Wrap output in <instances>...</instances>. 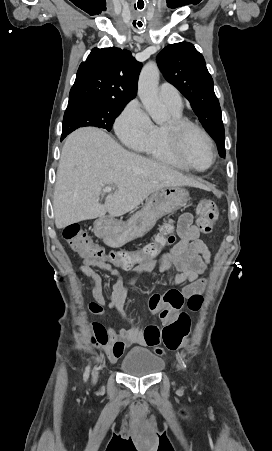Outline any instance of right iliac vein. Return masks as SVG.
Returning a JSON list of instances; mask_svg holds the SVG:
<instances>
[{"mask_svg": "<svg viewBox=\"0 0 272 451\" xmlns=\"http://www.w3.org/2000/svg\"><path fill=\"white\" fill-rule=\"evenodd\" d=\"M97 380H98V372L96 371L93 374V380H92L93 384H96Z\"/></svg>", "mask_w": 272, "mask_h": 451, "instance_id": "right-iliac-vein-1", "label": "right iliac vein"}]
</instances>
